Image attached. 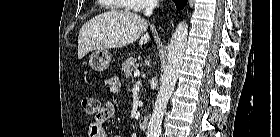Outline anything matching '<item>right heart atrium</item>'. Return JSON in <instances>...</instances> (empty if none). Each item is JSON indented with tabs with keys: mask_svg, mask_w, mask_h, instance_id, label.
<instances>
[{
	"mask_svg": "<svg viewBox=\"0 0 280 137\" xmlns=\"http://www.w3.org/2000/svg\"><path fill=\"white\" fill-rule=\"evenodd\" d=\"M139 10L148 9L153 5L152 0H134Z\"/></svg>",
	"mask_w": 280,
	"mask_h": 137,
	"instance_id": "1",
	"label": "right heart atrium"
}]
</instances>
